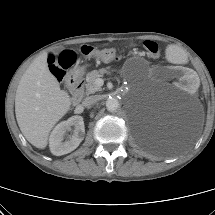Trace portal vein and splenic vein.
<instances>
[{"label": "portal vein and splenic vein", "mask_w": 215, "mask_h": 215, "mask_svg": "<svg viewBox=\"0 0 215 215\" xmlns=\"http://www.w3.org/2000/svg\"><path fill=\"white\" fill-rule=\"evenodd\" d=\"M96 82H97L98 85H101V84L103 83V80H102L101 78H98V79L96 80Z\"/></svg>", "instance_id": "1"}]
</instances>
